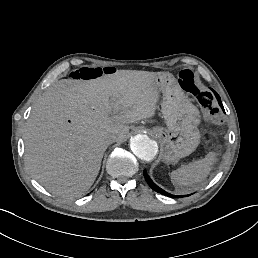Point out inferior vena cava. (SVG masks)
<instances>
[{"instance_id":"602c4592","label":"inferior vena cava","mask_w":258,"mask_h":258,"mask_svg":"<svg viewBox=\"0 0 258 258\" xmlns=\"http://www.w3.org/2000/svg\"><path fill=\"white\" fill-rule=\"evenodd\" d=\"M116 140H117V136L115 134L110 133L104 136V143L106 145H109L115 142Z\"/></svg>"}]
</instances>
